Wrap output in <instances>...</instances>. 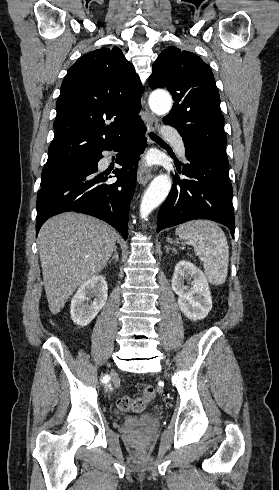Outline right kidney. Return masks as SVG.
Returning <instances> with one entry per match:
<instances>
[{
    "mask_svg": "<svg viewBox=\"0 0 279 490\" xmlns=\"http://www.w3.org/2000/svg\"><path fill=\"white\" fill-rule=\"evenodd\" d=\"M88 296H93L91 304H86ZM108 298V288L105 276H91L80 288L71 300L70 314L77 326H87L98 312L102 310Z\"/></svg>",
    "mask_w": 279,
    "mask_h": 490,
    "instance_id": "ca27d5eb",
    "label": "right kidney"
}]
</instances>
